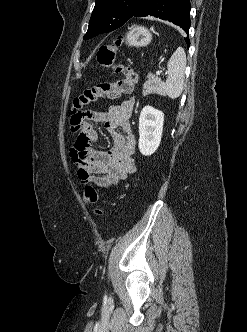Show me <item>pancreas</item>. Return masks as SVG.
Wrapping results in <instances>:
<instances>
[{"label": "pancreas", "mask_w": 247, "mask_h": 332, "mask_svg": "<svg viewBox=\"0 0 247 332\" xmlns=\"http://www.w3.org/2000/svg\"><path fill=\"white\" fill-rule=\"evenodd\" d=\"M159 84H160V81H159L158 77H156L152 73H149L147 75V80L143 86V95L156 93L158 90Z\"/></svg>", "instance_id": "obj_1"}]
</instances>
